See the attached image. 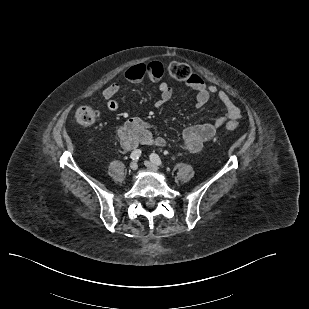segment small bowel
I'll return each mask as SVG.
<instances>
[{
  "instance_id": "1",
  "label": "small bowel",
  "mask_w": 309,
  "mask_h": 309,
  "mask_svg": "<svg viewBox=\"0 0 309 309\" xmlns=\"http://www.w3.org/2000/svg\"><path fill=\"white\" fill-rule=\"evenodd\" d=\"M163 74V67L159 62L146 64H136L124 72L123 81L139 83L144 79L159 82ZM123 81L114 82L102 91V96L106 100V106L110 111H117L119 103L115 96L120 91ZM187 86L196 93V107H203L211 97H216L226 111L225 116L217 117L212 123H203L189 126L183 131V147L191 153L199 152L203 145L214 138L219 127L226 122H236L240 118V109L234 104L229 95L219 90L216 85H207L198 75H194L187 82ZM160 104L169 101L174 94V90L166 82H159ZM118 137L121 146L125 150H132L139 144L154 145L163 147L166 141L162 137H155L149 130L148 125L138 117L127 119L118 128Z\"/></svg>"
}]
</instances>
